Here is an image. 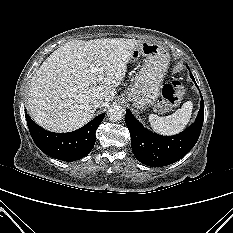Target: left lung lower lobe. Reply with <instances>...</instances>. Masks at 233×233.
I'll list each match as a JSON object with an SVG mask.
<instances>
[{
	"mask_svg": "<svg viewBox=\"0 0 233 233\" xmlns=\"http://www.w3.org/2000/svg\"><path fill=\"white\" fill-rule=\"evenodd\" d=\"M190 76L195 81L193 75L190 74ZM203 120L204 101L202 96L195 122L177 135L162 136L145 129L128 109H126L125 116L134 156L141 163L152 167L170 165L182 159L196 144L201 133Z\"/></svg>",
	"mask_w": 233,
	"mask_h": 233,
	"instance_id": "1",
	"label": "left lung lower lobe"
}]
</instances>
